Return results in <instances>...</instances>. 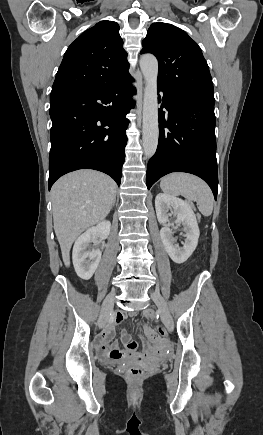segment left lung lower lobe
Masks as SVG:
<instances>
[{"mask_svg": "<svg viewBox=\"0 0 263 435\" xmlns=\"http://www.w3.org/2000/svg\"><path fill=\"white\" fill-rule=\"evenodd\" d=\"M163 92L159 109V142L147 167L150 187L171 172H187L202 178L217 199L214 103L184 96L158 85ZM161 101L160 95L158 96ZM166 108L168 118H165Z\"/></svg>", "mask_w": 263, "mask_h": 435, "instance_id": "1", "label": "left lung lower lobe"}]
</instances>
